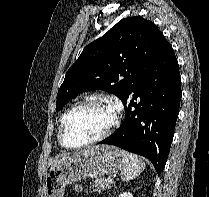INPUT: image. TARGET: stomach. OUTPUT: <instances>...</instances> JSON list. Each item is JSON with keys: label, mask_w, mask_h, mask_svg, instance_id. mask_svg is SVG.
Returning <instances> with one entry per match:
<instances>
[{"label": "stomach", "mask_w": 209, "mask_h": 197, "mask_svg": "<svg viewBox=\"0 0 209 197\" xmlns=\"http://www.w3.org/2000/svg\"><path fill=\"white\" fill-rule=\"evenodd\" d=\"M124 168L121 150L114 146H92L52 168L45 179V197H63L65 187L85 178H98Z\"/></svg>", "instance_id": "stomach-1"}]
</instances>
